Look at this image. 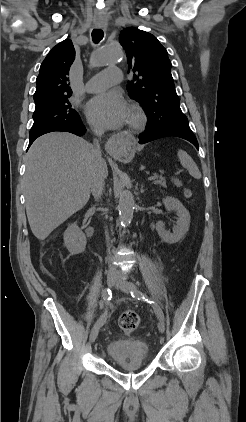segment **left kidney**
<instances>
[{"label": "left kidney", "mask_w": 246, "mask_h": 422, "mask_svg": "<svg viewBox=\"0 0 246 422\" xmlns=\"http://www.w3.org/2000/svg\"><path fill=\"white\" fill-rule=\"evenodd\" d=\"M162 201L168 211L176 212L178 218L173 233L165 230L162 221H158L156 223V231L164 242L174 244L180 241L188 232L190 226V214L183 204L176 198L166 197Z\"/></svg>", "instance_id": "left-kidney-1"}]
</instances>
